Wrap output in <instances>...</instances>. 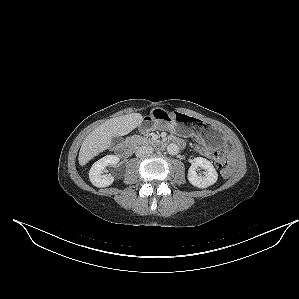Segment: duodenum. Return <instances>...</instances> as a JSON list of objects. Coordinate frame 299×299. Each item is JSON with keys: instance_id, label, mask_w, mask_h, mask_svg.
Returning a JSON list of instances; mask_svg holds the SVG:
<instances>
[{"instance_id": "1", "label": "duodenum", "mask_w": 299, "mask_h": 299, "mask_svg": "<svg viewBox=\"0 0 299 299\" xmlns=\"http://www.w3.org/2000/svg\"><path fill=\"white\" fill-rule=\"evenodd\" d=\"M174 143H175L176 145H179V146H180V143H179L178 141H174ZM165 146H166V143H165V142H162V141H161V142H157V143L155 144V147H156L157 149H163ZM132 149H133L132 144H130V143H123V144H120V145L117 147L116 151H117V154H118L120 157L126 158V157H128V156L131 155V153H132Z\"/></svg>"}]
</instances>
